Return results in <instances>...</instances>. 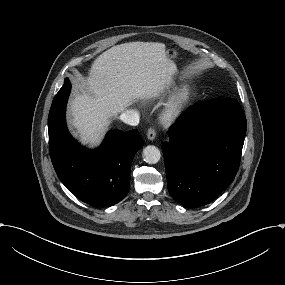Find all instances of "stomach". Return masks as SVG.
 Masks as SVG:
<instances>
[{
  "instance_id": "0dacf381",
  "label": "stomach",
  "mask_w": 285,
  "mask_h": 285,
  "mask_svg": "<svg viewBox=\"0 0 285 285\" xmlns=\"http://www.w3.org/2000/svg\"><path fill=\"white\" fill-rule=\"evenodd\" d=\"M166 54L170 58H175L177 56L176 50L172 48L167 49Z\"/></svg>"
}]
</instances>
